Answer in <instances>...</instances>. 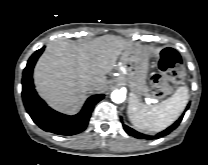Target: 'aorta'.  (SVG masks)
I'll use <instances>...</instances> for the list:
<instances>
[{
	"mask_svg": "<svg viewBox=\"0 0 208 165\" xmlns=\"http://www.w3.org/2000/svg\"><path fill=\"white\" fill-rule=\"evenodd\" d=\"M126 94L123 90H114L111 93V99L114 103H122L125 101Z\"/></svg>",
	"mask_w": 208,
	"mask_h": 165,
	"instance_id": "762f6f07",
	"label": "aorta"
}]
</instances>
